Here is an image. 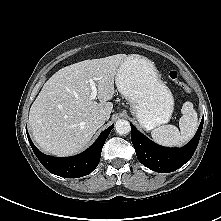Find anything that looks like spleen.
I'll use <instances>...</instances> for the list:
<instances>
[{
	"label": "spleen",
	"mask_w": 221,
	"mask_h": 221,
	"mask_svg": "<svg viewBox=\"0 0 221 221\" xmlns=\"http://www.w3.org/2000/svg\"><path fill=\"white\" fill-rule=\"evenodd\" d=\"M183 114L179 120V129L174 125H163L151 132L153 140L163 146H181L188 142L195 134L198 126L197 112L191 102L182 106Z\"/></svg>",
	"instance_id": "obj_1"
}]
</instances>
